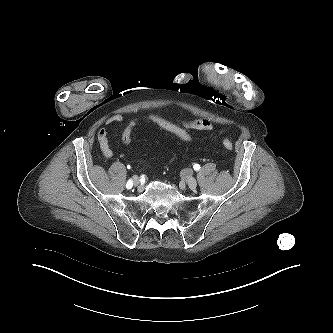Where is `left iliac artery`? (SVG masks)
Wrapping results in <instances>:
<instances>
[{
  "instance_id": "left-iliac-artery-1",
  "label": "left iliac artery",
  "mask_w": 333,
  "mask_h": 333,
  "mask_svg": "<svg viewBox=\"0 0 333 333\" xmlns=\"http://www.w3.org/2000/svg\"><path fill=\"white\" fill-rule=\"evenodd\" d=\"M193 168L194 170L199 171L201 167L199 164H194Z\"/></svg>"
}]
</instances>
